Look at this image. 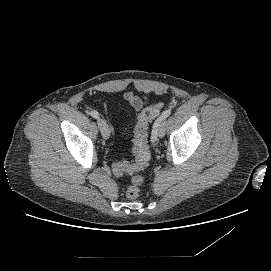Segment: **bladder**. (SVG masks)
Returning a JSON list of instances; mask_svg holds the SVG:
<instances>
[{
	"instance_id": "1",
	"label": "bladder",
	"mask_w": 271,
	"mask_h": 271,
	"mask_svg": "<svg viewBox=\"0 0 271 271\" xmlns=\"http://www.w3.org/2000/svg\"><path fill=\"white\" fill-rule=\"evenodd\" d=\"M129 129V123L128 122H125L122 126V131L123 132H126L127 130Z\"/></svg>"
}]
</instances>
